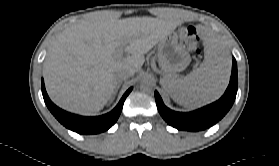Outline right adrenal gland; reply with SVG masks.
<instances>
[{"instance_id":"right-adrenal-gland-1","label":"right adrenal gland","mask_w":279,"mask_h":166,"mask_svg":"<svg viewBox=\"0 0 279 166\" xmlns=\"http://www.w3.org/2000/svg\"><path fill=\"white\" fill-rule=\"evenodd\" d=\"M120 86H121V83H118V84L116 85L115 90H114V92H113V97H114L115 94L117 93V91H118V89L120 88Z\"/></svg>"}]
</instances>
